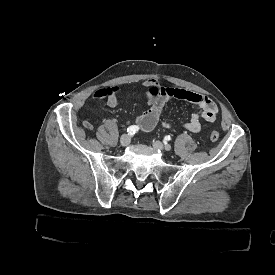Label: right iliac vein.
Returning a JSON list of instances; mask_svg holds the SVG:
<instances>
[{
  "label": "right iliac vein",
  "instance_id": "right-iliac-vein-1",
  "mask_svg": "<svg viewBox=\"0 0 275 275\" xmlns=\"http://www.w3.org/2000/svg\"><path fill=\"white\" fill-rule=\"evenodd\" d=\"M131 142V136L129 134H123L120 138V144L127 146Z\"/></svg>",
  "mask_w": 275,
  "mask_h": 275
}]
</instances>
